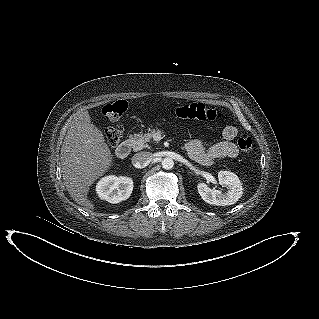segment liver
Here are the masks:
<instances>
[{"label": "liver", "instance_id": "obj_1", "mask_svg": "<svg viewBox=\"0 0 319 319\" xmlns=\"http://www.w3.org/2000/svg\"><path fill=\"white\" fill-rule=\"evenodd\" d=\"M60 160L64 185L70 196L92 211L94 204L87 196L89 187L109 169L112 154L102 131L91 123L88 111L77 113L70 122Z\"/></svg>", "mask_w": 319, "mask_h": 319}]
</instances>
